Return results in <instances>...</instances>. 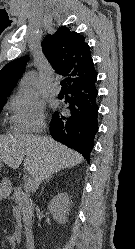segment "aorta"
<instances>
[{
    "instance_id": "obj_1",
    "label": "aorta",
    "mask_w": 135,
    "mask_h": 249,
    "mask_svg": "<svg viewBox=\"0 0 135 249\" xmlns=\"http://www.w3.org/2000/svg\"><path fill=\"white\" fill-rule=\"evenodd\" d=\"M38 96V76L35 73L27 75L20 87L19 97L25 102H32Z\"/></svg>"
}]
</instances>
